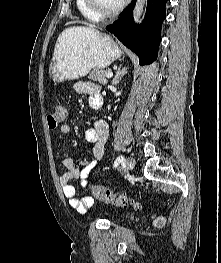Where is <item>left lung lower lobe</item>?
I'll list each match as a JSON object with an SVG mask.
<instances>
[{
  "mask_svg": "<svg viewBox=\"0 0 221 263\" xmlns=\"http://www.w3.org/2000/svg\"><path fill=\"white\" fill-rule=\"evenodd\" d=\"M135 2L136 0H132V3L121 13L120 18L107 26L106 30L136 53L141 65H148L157 58L167 0H148L145 19L140 25H135L133 20Z\"/></svg>",
  "mask_w": 221,
  "mask_h": 263,
  "instance_id": "1",
  "label": "left lung lower lobe"
}]
</instances>
